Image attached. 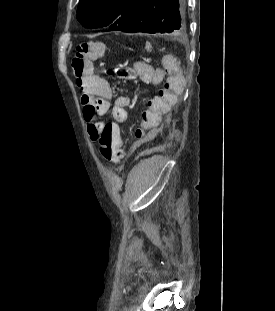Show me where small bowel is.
<instances>
[{
  "label": "small bowel",
  "mask_w": 275,
  "mask_h": 311,
  "mask_svg": "<svg viewBox=\"0 0 275 311\" xmlns=\"http://www.w3.org/2000/svg\"><path fill=\"white\" fill-rule=\"evenodd\" d=\"M180 56H160L159 64L148 65V60H131L130 76L139 80H149V87H158V92H152L147 105H144L138 116L137 132H132L134 143H151L150 133L158 126L165 112H173L177 108L178 98L185 93L184 70ZM76 83L82 90L81 103L84 106L83 115L87 122V131L93 139L106 126L96 121L97 116L111 112L112 125L119 127L127 119L126 108L130 104L127 96L113 97L110 84L102 77L88 72L76 77ZM116 127V128H117Z\"/></svg>",
  "instance_id": "1"
}]
</instances>
